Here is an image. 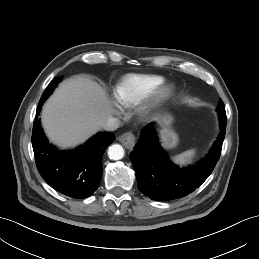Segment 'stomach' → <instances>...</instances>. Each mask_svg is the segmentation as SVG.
<instances>
[{"instance_id": "obj_1", "label": "stomach", "mask_w": 259, "mask_h": 259, "mask_svg": "<svg viewBox=\"0 0 259 259\" xmlns=\"http://www.w3.org/2000/svg\"><path fill=\"white\" fill-rule=\"evenodd\" d=\"M158 120L163 126V129L161 130L163 145L167 148L174 147L177 144L178 139L176 134L169 127L172 122V117L169 114H163L158 116Z\"/></svg>"}]
</instances>
